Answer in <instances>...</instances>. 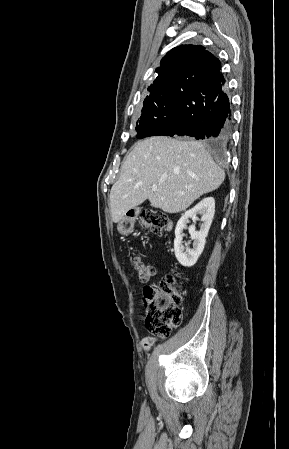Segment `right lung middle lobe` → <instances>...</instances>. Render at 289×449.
<instances>
[{
	"instance_id": "dd1d6c3e",
	"label": "right lung middle lobe",
	"mask_w": 289,
	"mask_h": 449,
	"mask_svg": "<svg viewBox=\"0 0 289 449\" xmlns=\"http://www.w3.org/2000/svg\"><path fill=\"white\" fill-rule=\"evenodd\" d=\"M177 115L174 96L171 92L148 96L143 102L137 138L152 136L162 124L171 122Z\"/></svg>"
}]
</instances>
